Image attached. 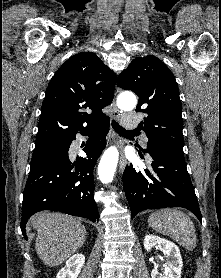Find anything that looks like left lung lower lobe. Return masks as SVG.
I'll use <instances>...</instances> for the list:
<instances>
[{"instance_id": "obj_1", "label": "left lung lower lobe", "mask_w": 221, "mask_h": 278, "mask_svg": "<svg viewBox=\"0 0 221 278\" xmlns=\"http://www.w3.org/2000/svg\"><path fill=\"white\" fill-rule=\"evenodd\" d=\"M147 153L149 169L138 170L132 163L123 173V186L132 217L146 209L184 207L202 222L194 187L187 172L183 146L158 144ZM140 156L143 158L141 152Z\"/></svg>"}]
</instances>
